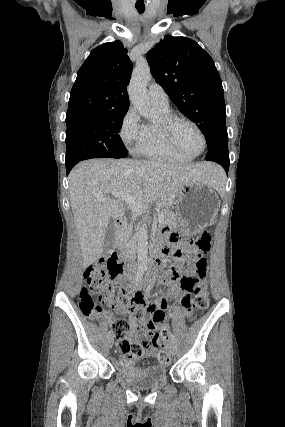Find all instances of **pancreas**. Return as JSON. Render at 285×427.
<instances>
[{"mask_svg":"<svg viewBox=\"0 0 285 427\" xmlns=\"http://www.w3.org/2000/svg\"><path fill=\"white\" fill-rule=\"evenodd\" d=\"M158 216L161 217L160 223L162 225H172L176 226L178 224V220L174 213L171 210L168 209H162L158 212ZM132 226L128 228L125 232L122 233L120 241L118 243L119 247H123L126 245V242L128 241L131 233H132Z\"/></svg>","mask_w":285,"mask_h":427,"instance_id":"pancreas-1","label":"pancreas"}]
</instances>
